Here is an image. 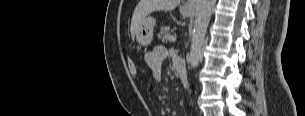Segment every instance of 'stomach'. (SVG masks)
<instances>
[{
    "mask_svg": "<svg viewBox=\"0 0 305 116\" xmlns=\"http://www.w3.org/2000/svg\"><path fill=\"white\" fill-rule=\"evenodd\" d=\"M180 13L188 17L192 15L193 10L191 9H186L185 7L180 8ZM156 24V20L153 17H146L142 24L140 25V28L136 34V39L138 43L142 46H147L151 43L153 39V30L154 26Z\"/></svg>",
    "mask_w": 305,
    "mask_h": 116,
    "instance_id": "1",
    "label": "stomach"
}]
</instances>
